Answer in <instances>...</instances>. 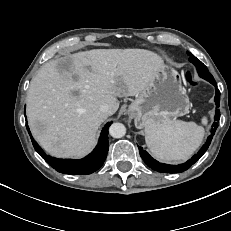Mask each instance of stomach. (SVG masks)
<instances>
[{"label": "stomach", "mask_w": 231, "mask_h": 231, "mask_svg": "<svg viewBox=\"0 0 231 231\" xmlns=\"http://www.w3.org/2000/svg\"><path fill=\"white\" fill-rule=\"evenodd\" d=\"M190 103L179 73L169 67L161 68L149 86L129 105L128 114L137 128L150 123L172 121L188 113Z\"/></svg>", "instance_id": "1"}]
</instances>
